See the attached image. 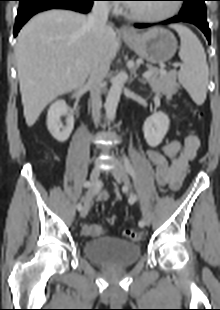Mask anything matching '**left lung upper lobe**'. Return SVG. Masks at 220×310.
<instances>
[{
	"mask_svg": "<svg viewBox=\"0 0 220 310\" xmlns=\"http://www.w3.org/2000/svg\"><path fill=\"white\" fill-rule=\"evenodd\" d=\"M184 2L180 14L206 17L205 0H181Z\"/></svg>",
	"mask_w": 220,
	"mask_h": 310,
	"instance_id": "left-lung-upper-lobe-1",
	"label": "left lung upper lobe"
}]
</instances>
